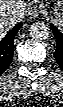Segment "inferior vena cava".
<instances>
[{"mask_svg": "<svg viewBox=\"0 0 63 107\" xmlns=\"http://www.w3.org/2000/svg\"><path fill=\"white\" fill-rule=\"evenodd\" d=\"M22 16V13L19 10H16L12 13V15L9 17V21L11 24H16L18 20H20V17Z\"/></svg>", "mask_w": 63, "mask_h": 107, "instance_id": "602c4592", "label": "inferior vena cava"}]
</instances>
